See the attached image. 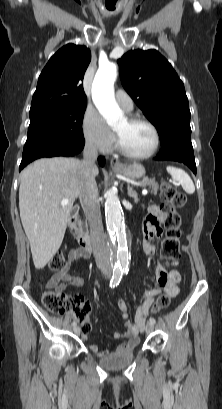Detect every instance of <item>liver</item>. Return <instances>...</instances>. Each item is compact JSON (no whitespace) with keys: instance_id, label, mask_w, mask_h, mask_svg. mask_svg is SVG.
I'll return each instance as SVG.
<instances>
[{"instance_id":"6515ba94","label":"liver","mask_w":222,"mask_h":409,"mask_svg":"<svg viewBox=\"0 0 222 409\" xmlns=\"http://www.w3.org/2000/svg\"><path fill=\"white\" fill-rule=\"evenodd\" d=\"M80 163L67 157L41 158L21 173L20 218L36 269L44 268L62 244L80 192ZM98 172L97 168L95 176ZM64 198L69 200L66 205L61 204Z\"/></svg>"}]
</instances>
